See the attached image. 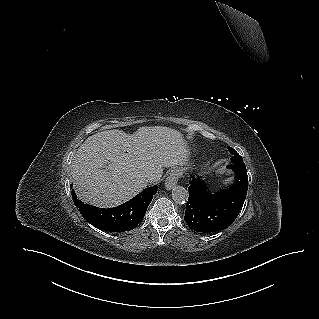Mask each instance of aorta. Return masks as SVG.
I'll return each mask as SVG.
<instances>
[{
  "label": "aorta",
  "mask_w": 319,
  "mask_h": 319,
  "mask_svg": "<svg viewBox=\"0 0 319 319\" xmlns=\"http://www.w3.org/2000/svg\"><path fill=\"white\" fill-rule=\"evenodd\" d=\"M172 197L177 203L184 204L188 200L189 193L183 186H176L172 190Z\"/></svg>",
  "instance_id": "aorta-1"
}]
</instances>
